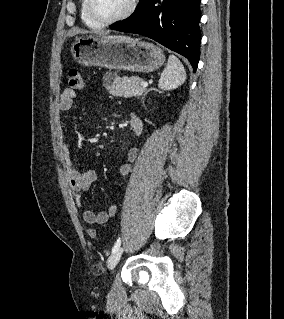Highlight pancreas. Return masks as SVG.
<instances>
[{
    "label": "pancreas",
    "instance_id": "1",
    "mask_svg": "<svg viewBox=\"0 0 284 319\" xmlns=\"http://www.w3.org/2000/svg\"><path fill=\"white\" fill-rule=\"evenodd\" d=\"M108 77H112L113 82H106ZM103 79L106 89L113 96L139 97L145 91V88L140 85L143 80L138 76L118 77L116 74L107 73Z\"/></svg>",
    "mask_w": 284,
    "mask_h": 319
}]
</instances>
